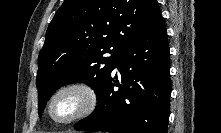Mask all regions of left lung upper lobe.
I'll return each instance as SVG.
<instances>
[{"instance_id": "5c2ea615", "label": "left lung upper lobe", "mask_w": 221, "mask_h": 133, "mask_svg": "<svg viewBox=\"0 0 221 133\" xmlns=\"http://www.w3.org/2000/svg\"><path fill=\"white\" fill-rule=\"evenodd\" d=\"M160 17L157 0H65L38 58L39 115L65 84L84 82L98 94L120 51Z\"/></svg>"}]
</instances>
